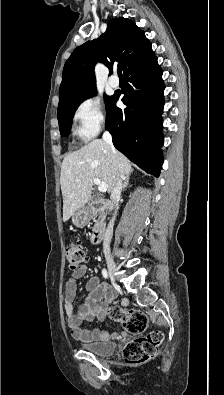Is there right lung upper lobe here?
<instances>
[{
    "instance_id": "1",
    "label": "right lung upper lobe",
    "mask_w": 224,
    "mask_h": 395,
    "mask_svg": "<svg viewBox=\"0 0 224 395\" xmlns=\"http://www.w3.org/2000/svg\"><path fill=\"white\" fill-rule=\"evenodd\" d=\"M151 50V43L145 37L144 31L133 21L123 17L111 19L104 34L97 40L88 41L77 47L66 61L59 90L58 108L66 105L74 97L96 88V62L105 64L110 73L113 64L117 62L125 73L134 62Z\"/></svg>"
}]
</instances>
